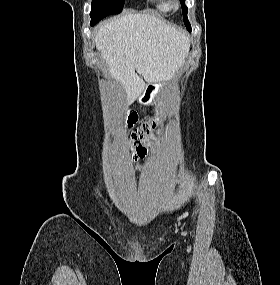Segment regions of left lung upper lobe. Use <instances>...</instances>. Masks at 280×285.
Here are the masks:
<instances>
[{"label": "left lung upper lobe", "instance_id": "obj_1", "mask_svg": "<svg viewBox=\"0 0 280 285\" xmlns=\"http://www.w3.org/2000/svg\"><path fill=\"white\" fill-rule=\"evenodd\" d=\"M184 1H185V0H180V2H181V7H182V12H183V16H184V24H185L186 28H187L189 31H191V25H190V23H189V21H188V18H187V7L185 6Z\"/></svg>", "mask_w": 280, "mask_h": 285}]
</instances>
